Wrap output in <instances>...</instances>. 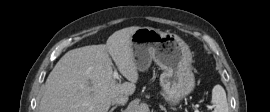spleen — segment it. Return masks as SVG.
Here are the masks:
<instances>
[{
	"label": "spleen",
	"mask_w": 270,
	"mask_h": 112,
	"mask_svg": "<svg viewBox=\"0 0 270 112\" xmlns=\"http://www.w3.org/2000/svg\"><path fill=\"white\" fill-rule=\"evenodd\" d=\"M212 102L214 103V110L212 112H228V103L226 99V92L221 85H216L212 90Z\"/></svg>",
	"instance_id": "spleen-1"
}]
</instances>
